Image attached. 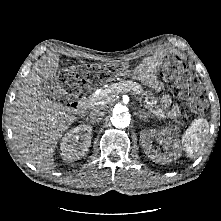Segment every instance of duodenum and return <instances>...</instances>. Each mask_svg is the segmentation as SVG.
Wrapping results in <instances>:
<instances>
[{
  "label": "duodenum",
  "instance_id": "1",
  "mask_svg": "<svg viewBox=\"0 0 221 221\" xmlns=\"http://www.w3.org/2000/svg\"><path fill=\"white\" fill-rule=\"evenodd\" d=\"M84 105H85V102H84V99H83V98L70 99V100L67 102V107H68L72 112H75V113H80V112H82L83 109H84Z\"/></svg>",
  "mask_w": 221,
  "mask_h": 221
}]
</instances>
